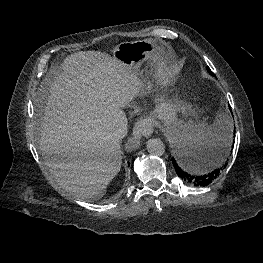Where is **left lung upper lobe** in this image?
Listing matches in <instances>:
<instances>
[{"label":"left lung upper lobe","mask_w":263,"mask_h":263,"mask_svg":"<svg viewBox=\"0 0 263 263\" xmlns=\"http://www.w3.org/2000/svg\"><path fill=\"white\" fill-rule=\"evenodd\" d=\"M207 70H208V72H209L211 75H213V73H212V71L209 69V67H207Z\"/></svg>","instance_id":"1"}]
</instances>
